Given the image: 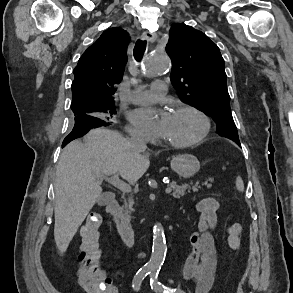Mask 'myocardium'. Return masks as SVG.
I'll return each instance as SVG.
<instances>
[{
	"label": "myocardium",
	"mask_w": 293,
	"mask_h": 293,
	"mask_svg": "<svg viewBox=\"0 0 293 293\" xmlns=\"http://www.w3.org/2000/svg\"><path fill=\"white\" fill-rule=\"evenodd\" d=\"M181 111H188L197 115L202 122V130L200 134L192 140L182 141V142L165 140L164 141L165 144L167 146L174 147V148H186V147H192V146L200 144L207 138V136L210 133L211 122L209 117L197 107L188 105V104L179 105L174 109V112H181Z\"/></svg>",
	"instance_id": "1"
}]
</instances>
